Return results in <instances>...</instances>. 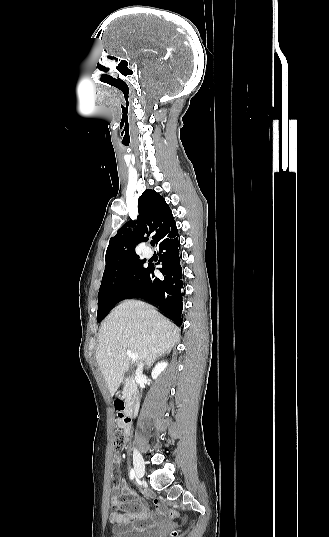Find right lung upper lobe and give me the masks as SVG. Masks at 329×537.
<instances>
[{"label":"right lung upper lobe","instance_id":"right-lung-upper-lobe-1","mask_svg":"<svg viewBox=\"0 0 329 537\" xmlns=\"http://www.w3.org/2000/svg\"><path fill=\"white\" fill-rule=\"evenodd\" d=\"M137 221H128L109 241L106 266L139 258L135 247L153 235L159 244L177 229L172 212L164 198L156 191L146 189L138 199ZM127 226H136L134 232Z\"/></svg>","mask_w":329,"mask_h":537}]
</instances>
